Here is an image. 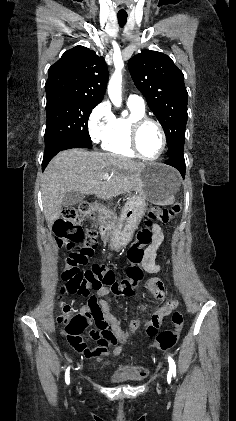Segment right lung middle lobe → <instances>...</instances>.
<instances>
[{"label": "right lung middle lobe", "mask_w": 236, "mask_h": 421, "mask_svg": "<svg viewBox=\"0 0 236 421\" xmlns=\"http://www.w3.org/2000/svg\"><path fill=\"white\" fill-rule=\"evenodd\" d=\"M100 102L64 93L47 94L45 148L59 140H72L92 148L88 133V119Z\"/></svg>", "instance_id": "obj_1"}]
</instances>
